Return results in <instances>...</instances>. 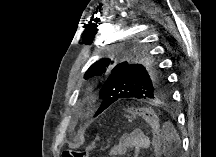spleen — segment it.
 <instances>
[{
    "instance_id": "spleen-1",
    "label": "spleen",
    "mask_w": 216,
    "mask_h": 157,
    "mask_svg": "<svg viewBox=\"0 0 216 157\" xmlns=\"http://www.w3.org/2000/svg\"><path fill=\"white\" fill-rule=\"evenodd\" d=\"M166 126L170 128V131H166L160 136L165 150L173 149V145L176 149H179L181 147L179 135L170 123H167Z\"/></svg>"
}]
</instances>
